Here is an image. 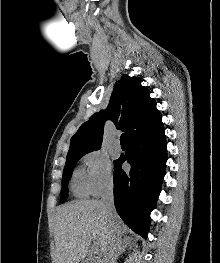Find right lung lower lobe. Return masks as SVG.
Returning a JSON list of instances; mask_svg holds the SVG:
<instances>
[{
    "mask_svg": "<svg viewBox=\"0 0 220 263\" xmlns=\"http://www.w3.org/2000/svg\"><path fill=\"white\" fill-rule=\"evenodd\" d=\"M131 165L123 171L122 163ZM167 161L164 127L127 141L126 155L114 161V203L122 220L147 238L150 213L155 208Z\"/></svg>",
    "mask_w": 220,
    "mask_h": 263,
    "instance_id": "right-lung-lower-lobe-1",
    "label": "right lung lower lobe"
}]
</instances>
